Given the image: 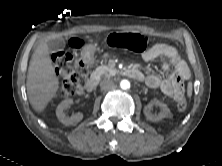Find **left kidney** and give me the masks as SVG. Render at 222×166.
Wrapping results in <instances>:
<instances>
[{
    "label": "left kidney",
    "mask_w": 222,
    "mask_h": 166,
    "mask_svg": "<svg viewBox=\"0 0 222 166\" xmlns=\"http://www.w3.org/2000/svg\"><path fill=\"white\" fill-rule=\"evenodd\" d=\"M153 105L160 106L162 108V112H160L158 115L152 114L151 108ZM143 112L146 119L153 122H158L162 120L163 118L169 117L171 115V112L168 106L157 100H153L147 106H145Z\"/></svg>",
    "instance_id": "1"
}]
</instances>
